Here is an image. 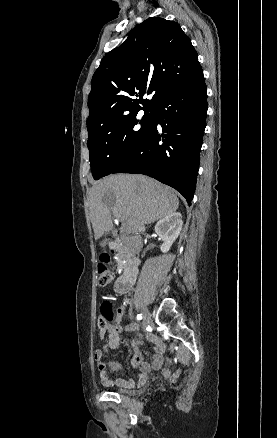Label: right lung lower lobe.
<instances>
[{
    "label": "right lung lower lobe",
    "mask_w": 277,
    "mask_h": 438,
    "mask_svg": "<svg viewBox=\"0 0 277 438\" xmlns=\"http://www.w3.org/2000/svg\"><path fill=\"white\" fill-rule=\"evenodd\" d=\"M168 71L179 68L167 65ZM207 94L203 72L162 93L149 130L113 173H141L178 190L190 205L196 187Z\"/></svg>",
    "instance_id": "1"
}]
</instances>
